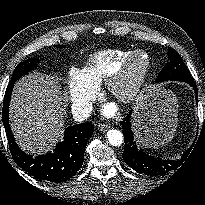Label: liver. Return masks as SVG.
Wrapping results in <instances>:
<instances>
[{
  "label": "liver",
  "mask_w": 205,
  "mask_h": 205,
  "mask_svg": "<svg viewBox=\"0 0 205 205\" xmlns=\"http://www.w3.org/2000/svg\"><path fill=\"white\" fill-rule=\"evenodd\" d=\"M53 77L30 74L19 80L10 102V125L18 145L28 153L40 154L61 138L65 100Z\"/></svg>",
  "instance_id": "obj_1"
}]
</instances>
